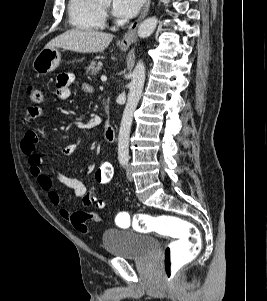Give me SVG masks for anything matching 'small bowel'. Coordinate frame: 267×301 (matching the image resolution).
<instances>
[{
	"instance_id": "1",
	"label": "small bowel",
	"mask_w": 267,
	"mask_h": 301,
	"mask_svg": "<svg viewBox=\"0 0 267 301\" xmlns=\"http://www.w3.org/2000/svg\"><path fill=\"white\" fill-rule=\"evenodd\" d=\"M74 80V75L71 72L60 73L56 78L55 83V95L59 100H66L71 95L70 85ZM83 89L86 92H92L93 89L88 84H83ZM43 115V111L37 107H31L27 113V120L38 118ZM38 142V135L32 128H28L21 140L20 148L22 153L27 157L29 170L32 176H34L38 182L40 188L45 191L48 195L50 202L54 205L60 203V196L54 188L53 179L42 170V159L36 152V146ZM81 143V139L65 145L61 149V153L64 156H71L75 153L76 149ZM59 181L72 189L74 195L77 198H83L84 204H90L88 198V192L85 184L75 178L59 174ZM60 215L69 220L75 229L80 232L88 231L89 221H100L101 215L99 213H87L82 210L70 211L66 208L60 209Z\"/></svg>"
}]
</instances>
